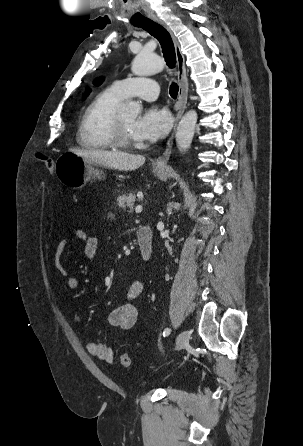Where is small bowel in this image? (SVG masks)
<instances>
[{"mask_svg": "<svg viewBox=\"0 0 303 446\" xmlns=\"http://www.w3.org/2000/svg\"><path fill=\"white\" fill-rule=\"evenodd\" d=\"M71 242H80L84 244L85 255L92 259L96 255L98 249V238L89 235L83 229H75L72 237L62 239L56 246L54 252V266L62 279H64V287L68 290H75L79 287L80 282L77 278L69 276L67 269L62 263V255ZM143 290V283L135 281L129 288L128 297L133 300L140 295ZM138 311L132 303H126L116 307L109 314V323L123 330L131 329L137 322ZM74 321L79 322L78 314L73 315ZM86 350L92 356L99 358L107 363L114 361V352L106 344L95 341H87Z\"/></svg>", "mask_w": 303, "mask_h": 446, "instance_id": "1", "label": "small bowel"}]
</instances>
